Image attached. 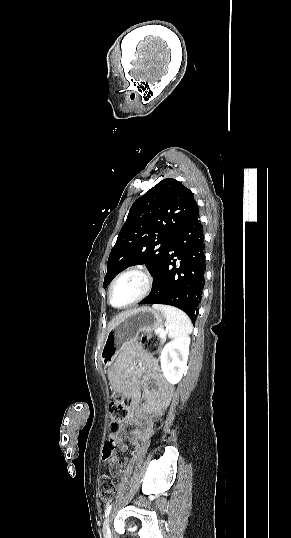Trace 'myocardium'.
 Wrapping results in <instances>:
<instances>
[{
	"label": "myocardium",
	"mask_w": 291,
	"mask_h": 538,
	"mask_svg": "<svg viewBox=\"0 0 291 538\" xmlns=\"http://www.w3.org/2000/svg\"><path fill=\"white\" fill-rule=\"evenodd\" d=\"M138 275L140 276L143 281H144V288L143 290L141 291V293L139 295H137L134 299H132L131 301H129L128 303L122 305V306H115L112 302V293H113V289H114V286L116 285V283L122 279L123 277L127 276V275ZM153 277L152 275L144 268L142 267H131V268H127L123 271H121L120 273H118L116 275V277L112 280V282L110 283V286H109V289H108V302L109 304L116 308V309H124V308H128L136 303H139L140 301H142L143 299H145L149 293L151 292L152 290V287H153Z\"/></svg>",
	"instance_id": "myocardium-1"
}]
</instances>
